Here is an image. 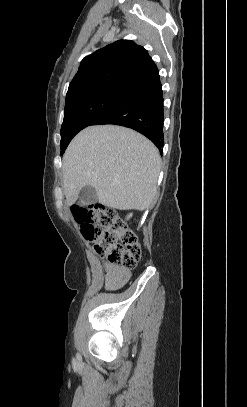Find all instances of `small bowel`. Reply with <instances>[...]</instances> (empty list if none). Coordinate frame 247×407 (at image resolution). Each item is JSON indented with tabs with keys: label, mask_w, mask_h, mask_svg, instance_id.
Instances as JSON below:
<instances>
[{
	"label": "small bowel",
	"mask_w": 247,
	"mask_h": 407,
	"mask_svg": "<svg viewBox=\"0 0 247 407\" xmlns=\"http://www.w3.org/2000/svg\"><path fill=\"white\" fill-rule=\"evenodd\" d=\"M102 266L106 270L104 276L105 287L108 289H116L128 282L132 276V271L118 265L102 262Z\"/></svg>",
	"instance_id": "c3829d8e"
}]
</instances>
